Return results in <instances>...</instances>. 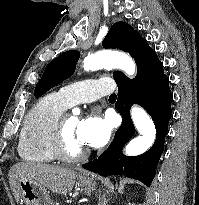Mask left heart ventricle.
I'll list each match as a JSON object with an SVG mask.
<instances>
[{
  "label": "left heart ventricle",
  "mask_w": 199,
  "mask_h": 205,
  "mask_svg": "<svg viewBox=\"0 0 199 205\" xmlns=\"http://www.w3.org/2000/svg\"><path fill=\"white\" fill-rule=\"evenodd\" d=\"M79 123L80 119L78 116L69 114L65 127V145L70 152H76L85 148V145L78 136Z\"/></svg>",
  "instance_id": "left-heart-ventricle-1"
}]
</instances>
